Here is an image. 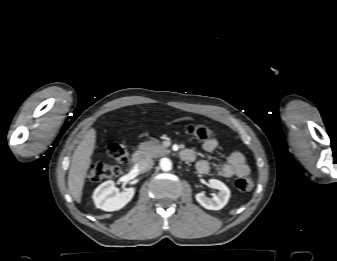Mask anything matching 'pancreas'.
<instances>
[{
    "label": "pancreas",
    "instance_id": "1",
    "mask_svg": "<svg viewBox=\"0 0 337 261\" xmlns=\"http://www.w3.org/2000/svg\"><path fill=\"white\" fill-rule=\"evenodd\" d=\"M138 148L144 157L149 158H155L170 153L168 149L155 141L142 142Z\"/></svg>",
    "mask_w": 337,
    "mask_h": 261
}]
</instances>
